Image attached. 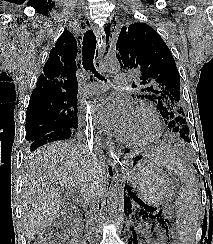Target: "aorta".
I'll use <instances>...</instances> for the list:
<instances>
[{
  "label": "aorta",
  "mask_w": 213,
  "mask_h": 244,
  "mask_svg": "<svg viewBox=\"0 0 213 244\" xmlns=\"http://www.w3.org/2000/svg\"><path fill=\"white\" fill-rule=\"evenodd\" d=\"M100 72L117 73L120 71L119 61L115 57L104 58L99 65ZM125 182L117 172L113 175L107 193V210L110 218L117 222L123 211Z\"/></svg>",
  "instance_id": "obj_1"
}]
</instances>
